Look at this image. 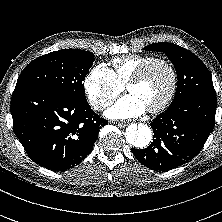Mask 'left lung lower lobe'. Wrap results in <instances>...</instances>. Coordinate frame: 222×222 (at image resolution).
<instances>
[{"instance_id": "0a47b994", "label": "left lung lower lobe", "mask_w": 222, "mask_h": 222, "mask_svg": "<svg viewBox=\"0 0 222 222\" xmlns=\"http://www.w3.org/2000/svg\"><path fill=\"white\" fill-rule=\"evenodd\" d=\"M216 98L191 96L170 105L151 127L153 142L146 149H131L147 168L168 171L194 158L215 126Z\"/></svg>"}]
</instances>
